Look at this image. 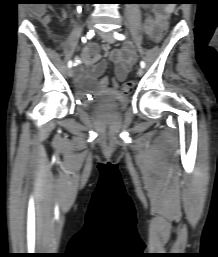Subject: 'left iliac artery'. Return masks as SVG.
I'll return each instance as SVG.
<instances>
[{
  "label": "left iliac artery",
  "mask_w": 218,
  "mask_h": 257,
  "mask_svg": "<svg viewBox=\"0 0 218 257\" xmlns=\"http://www.w3.org/2000/svg\"><path fill=\"white\" fill-rule=\"evenodd\" d=\"M114 37L117 39V40H125V35H123V34H121V33H117V32H115L114 33ZM140 66L142 67V68H144L145 67V62L144 61H141L140 62Z\"/></svg>",
  "instance_id": "left-iliac-artery-1"
}]
</instances>
